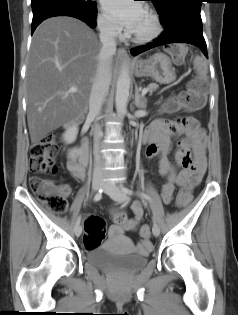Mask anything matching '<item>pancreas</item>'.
<instances>
[{"instance_id":"obj_1","label":"pancreas","mask_w":238,"mask_h":315,"mask_svg":"<svg viewBox=\"0 0 238 315\" xmlns=\"http://www.w3.org/2000/svg\"><path fill=\"white\" fill-rule=\"evenodd\" d=\"M158 87H159L158 84H156V83H150V84L148 85V90H149L150 93H152L153 91L157 90Z\"/></svg>"}]
</instances>
